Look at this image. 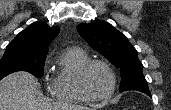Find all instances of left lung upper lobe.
<instances>
[{"label":"left lung upper lobe","mask_w":171,"mask_h":110,"mask_svg":"<svg viewBox=\"0 0 171 110\" xmlns=\"http://www.w3.org/2000/svg\"><path fill=\"white\" fill-rule=\"evenodd\" d=\"M80 36L98 52L102 53L121 70L120 91L138 90L150 94L148 83L142 73L136 49L127 37L106 22L81 23L77 26Z\"/></svg>","instance_id":"obj_1"}]
</instances>
